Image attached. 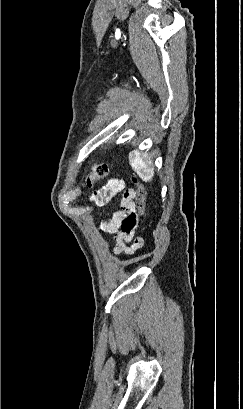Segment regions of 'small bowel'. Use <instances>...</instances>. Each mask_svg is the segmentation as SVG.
Returning a JSON list of instances; mask_svg holds the SVG:
<instances>
[{"label": "small bowel", "instance_id": "obj_1", "mask_svg": "<svg viewBox=\"0 0 243 409\" xmlns=\"http://www.w3.org/2000/svg\"><path fill=\"white\" fill-rule=\"evenodd\" d=\"M123 189V184L117 179L110 180L103 188L94 193L97 205H103ZM135 192L126 190L120 199V210L113 217L101 224L103 231L112 234L115 238L114 252L116 254L131 255L144 246V238L134 239L138 217L135 207ZM132 245H128L129 243Z\"/></svg>", "mask_w": 243, "mask_h": 409}]
</instances>
